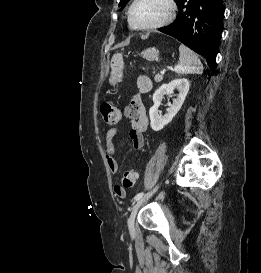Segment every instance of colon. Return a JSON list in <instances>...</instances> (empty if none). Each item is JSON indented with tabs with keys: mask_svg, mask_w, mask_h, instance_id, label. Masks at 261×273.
I'll return each instance as SVG.
<instances>
[{
	"mask_svg": "<svg viewBox=\"0 0 261 273\" xmlns=\"http://www.w3.org/2000/svg\"><path fill=\"white\" fill-rule=\"evenodd\" d=\"M100 109H101V113L104 118V121L108 125H116L119 122L121 113L116 106L108 102H104L102 103ZM137 179H138V171L136 169L133 168L126 171L122 175L121 183L119 185H116L117 192L122 193L128 188H132L135 185Z\"/></svg>",
	"mask_w": 261,
	"mask_h": 273,
	"instance_id": "colon-1",
	"label": "colon"
}]
</instances>
